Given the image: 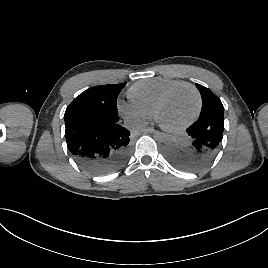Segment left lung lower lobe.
I'll return each mask as SVG.
<instances>
[{
	"mask_svg": "<svg viewBox=\"0 0 268 268\" xmlns=\"http://www.w3.org/2000/svg\"><path fill=\"white\" fill-rule=\"evenodd\" d=\"M223 131V117L197 120L182 137L167 146L166 155L180 169L200 170L208 166L218 154Z\"/></svg>",
	"mask_w": 268,
	"mask_h": 268,
	"instance_id": "left-lung-lower-lobe-1",
	"label": "left lung lower lobe"
}]
</instances>
